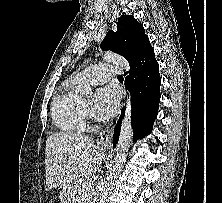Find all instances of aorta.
<instances>
[{"label": "aorta", "instance_id": "762f6f07", "mask_svg": "<svg viewBox=\"0 0 222 203\" xmlns=\"http://www.w3.org/2000/svg\"><path fill=\"white\" fill-rule=\"evenodd\" d=\"M103 59L109 63L120 66L126 72L130 71L129 62L121 55L107 52L104 54ZM82 93L86 96L92 95V90L89 85L82 87ZM132 136V124H131V97L127 98L125 116L121 126V132L119 136L118 145L116 147V154L108 170L106 179L104 180L100 189L97 203H107L109 194L111 193L113 186L117 180V177L126 161L129 146Z\"/></svg>", "mask_w": 222, "mask_h": 203}]
</instances>
